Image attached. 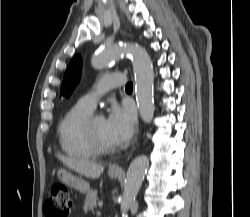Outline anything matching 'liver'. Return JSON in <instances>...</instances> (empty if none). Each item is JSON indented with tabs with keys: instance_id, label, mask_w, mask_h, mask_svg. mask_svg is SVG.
I'll return each instance as SVG.
<instances>
[{
	"instance_id": "6515ba94",
	"label": "liver",
	"mask_w": 250,
	"mask_h": 217,
	"mask_svg": "<svg viewBox=\"0 0 250 217\" xmlns=\"http://www.w3.org/2000/svg\"><path fill=\"white\" fill-rule=\"evenodd\" d=\"M56 157L68 168L91 179L98 178L104 167L86 159L69 158L57 154Z\"/></svg>"
}]
</instances>
